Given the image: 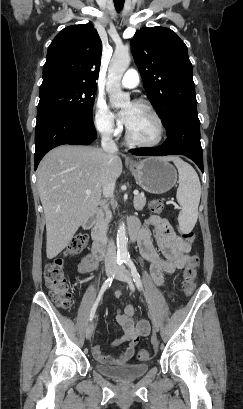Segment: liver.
<instances>
[{
  "label": "liver",
  "mask_w": 243,
  "mask_h": 409,
  "mask_svg": "<svg viewBox=\"0 0 243 409\" xmlns=\"http://www.w3.org/2000/svg\"><path fill=\"white\" fill-rule=\"evenodd\" d=\"M122 161L92 146L61 145L37 169V188L46 221V255L56 257L100 204L106 184L122 173ZM86 190L91 194L87 195Z\"/></svg>",
  "instance_id": "obj_1"
}]
</instances>
